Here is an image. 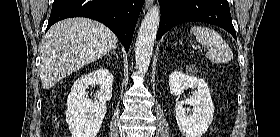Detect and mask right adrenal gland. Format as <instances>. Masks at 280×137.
<instances>
[{
	"label": "right adrenal gland",
	"instance_id": "2a0ac1e0",
	"mask_svg": "<svg viewBox=\"0 0 280 137\" xmlns=\"http://www.w3.org/2000/svg\"><path fill=\"white\" fill-rule=\"evenodd\" d=\"M111 54H114V55H116V56L118 57V54L116 53V48H113V49L111 50Z\"/></svg>",
	"mask_w": 280,
	"mask_h": 137
}]
</instances>
